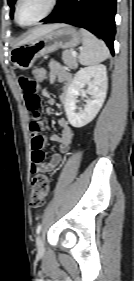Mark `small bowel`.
<instances>
[{
  "label": "small bowel",
  "mask_w": 134,
  "mask_h": 281,
  "mask_svg": "<svg viewBox=\"0 0 134 281\" xmlns=\"http://www.w3.org/2000/svg\"><path fill=\"white\" fill-rule=\"evenodd\" d=\"M47 80L50 83L59 81L63 85L59 99L62 104L67 101V91L71 83V74L57 61L49 62ZM18 85L23 91V98L30 117V131L32 133V164L33 173H47L56 169L63 162V155L69 151L70 144L74 137L72 127L67 120L60 118L58 121L60 133H52L49 140L58 144L59 151L55 152L48 162H44V147L46 137L42 134L44 124L41 120L39 106L40 96L47 99L49 105L55 104V99L48 89H42L39 93V84L34 77L22 74L18 77Z\"/></svg>",
  "instance_id": "small-bowel-1"
}]
</instances>
